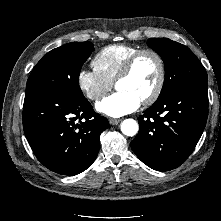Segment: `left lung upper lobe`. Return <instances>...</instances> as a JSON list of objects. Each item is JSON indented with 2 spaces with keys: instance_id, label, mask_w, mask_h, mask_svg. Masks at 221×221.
I'll list each match as a JSON object with an SVG mask.
<instances>
[{
  "instance_id": "obj_1",
  "label": "left lung upper lobe",
  "mask_w": 221,
  "mask_h": 221,
  "mask_svg": "<svg viewBox=\"0 0 221 221\" xmlns=\"http://www.w3.org/2000/svg\"><path fill=\"white\" fill-rule=\"evenodd\" d=\"M147 45L164 62L165 80L158 100L187 84L207 82L205 68L188 47L167 38H150Z\"/></svg>"
}]
</instances>
